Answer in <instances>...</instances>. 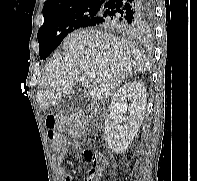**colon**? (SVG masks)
Listing matches in <instances>:
<instances>
[{"mask_svg":"<svg viewBox=\"0 0 197 181\" xmlns=\"http://www.w3.org/2000/svg\"><path fill=\"white\" fill-rule=\"evenodd\" d=\"M46 125L47 137L54 149H59L63 143V138L58 130L68 129L71 134L77 135L82 133L85 128L82 117L77 114L51 115L47 118ZM83 158L93 168L85 171L83 181H94V171L105 165V158L89 150L84 151Z\"/></svg>","mask_w":197,"mask_h":181,"instance_id":"obj_1","label":"colon"}]
</instances>
